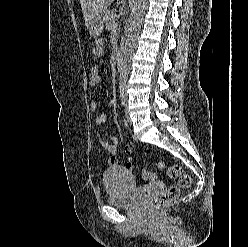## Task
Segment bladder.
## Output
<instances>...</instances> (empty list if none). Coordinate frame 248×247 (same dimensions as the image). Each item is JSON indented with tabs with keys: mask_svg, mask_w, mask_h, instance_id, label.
Masks as SVG:
<instances>
[{
	"mask_svg": "<svg viewBox=\"0 0 248 247\" xmlns=\"http://www.w3.org/2000/svg\"><path fill=\"white\" fill-rule=\"evenodd\" d=\"M103 183L108 203L115 207H133L137 203V194L142 191L131 178V173L122 167H113L105 171Z\"/></svg>",
	"mask_w": 248,
	"mask_h": 247,
	"instance_id": "bladder-1",
	"label": "bladder"
}]
</instances>
